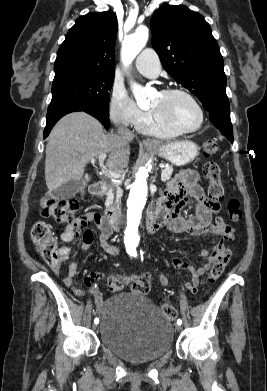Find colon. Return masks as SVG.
I'll return each mask as SVG.
<instances>
[{
	"label": "colon",
	"instance_id": "colon-1",
	"mask_svg": "<svg viewBox=\"0 0 267 391\" xmlns=\"http://www.w3.org/2000/svg\"><path fill=\"white\" fill-rule=\"evenodd\" d=\"M218 151V144L216 141L209 139L203 144V154L205 157H211ZM204 174L209 181L208 195L212 202H219L225 196V186L221 181V171L217 163L207 162L203 167ZM79 208L78 202L72 199H56L47 197L43 200L41 206V215L46 218H52L55 222L60 224H75L78 221L84 220L85 217L76 218L75 214ZM229 217L232 221H239L242 218V211L240 203L237 199L232 198L227 204ZM31 237L34 245L40 251L45 262L51 266L56 267L60 262V255L58 252V245L56 238L48 223L38 221L34 224L31 232ZM231 253L229 250H224L213 264L207 276L208 283H214L222 275ZM131 282V290L137 294H147L150 290L149 275L138 274L133 275L129 279ZM125 280L119 277H111L108 280V289L112 293L121 291ZM164 316L173 321L177 317L176 309L169 304L162 307Z\"/></svg>",
	"mask_w": 267,
	"mask_h": 391
}]
</instances>
